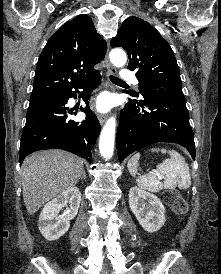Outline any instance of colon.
<instances>
[{
  "label": "colon",
  "mask_w": 221,
  "mask_h": 274,
  "mask_svg": "<svg viewBox=\"0 0 221 274\" xmlns=\"http://www.w3.org/2000/svg\"><path fill=\"white\" fill-rule=\"evenodd\" d=\"M162 199L176 214L184 215L188 211L187 201L176 190H167L162 194Z\"/></svg>",
  "instance_id": "colon-1"
}]
</instances>
